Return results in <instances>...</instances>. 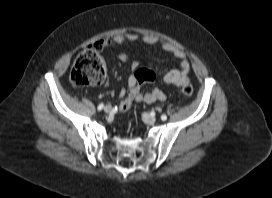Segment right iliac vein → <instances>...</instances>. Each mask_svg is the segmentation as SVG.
<instances>
[{"instance_id":"right-iliac-vein-1","label":"right iliac vein","mask_w":272,"mask_h":198,"mask_svg":"<svg viewBox=\"0 0 272 198\" xmlns=\"http://www.w3.org/2000/svg\"><path fill=\"white\" fill-rule=\"evenodd\" d=\"M104 111H105L106 113H110V112L112 111V107H111L110 105H106V106L104 107Z\"/></svg>"}]
</instances>
